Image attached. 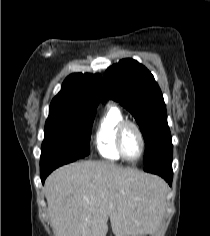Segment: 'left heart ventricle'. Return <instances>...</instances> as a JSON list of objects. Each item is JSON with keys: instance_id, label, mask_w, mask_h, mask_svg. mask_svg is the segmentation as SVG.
<instances>
[{"instance_id": "left-heart-ventricle-1", "label": "left heart ventricle", "mask_w": 210, "mask_h": 236, "mask_svg": "<svg viewBox=\"0 0 210 236\" xmlns=\"http://www.w3.org/2000/svg\"><path fill=\"white\" fill-rule=\"evenodd\" d=\"M122 147L126 157L136 158L140 152V139L133 127H127L123 134Z\"/></svg>"}]
</instances>
